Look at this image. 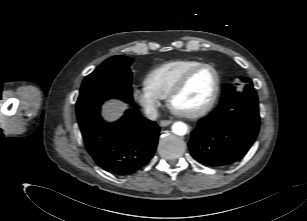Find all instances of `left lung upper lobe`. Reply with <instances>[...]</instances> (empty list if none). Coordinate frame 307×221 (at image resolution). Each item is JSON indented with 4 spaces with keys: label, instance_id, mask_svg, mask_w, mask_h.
I'll list each match as a JSON object with an SVG mask.
<instances>
[{
    "label": "left lung upper lobe",
    "instance_id": "1",
    "mask_svg": "<svg viewBox=\"0 0 307 221\" xmlns=\"http://www.w3.org/2000/svg\"><path fill=\"white\" fill-rule=\"evenodd\" d=\"M240 79L241 84H236L235 86L232 84H225L223 86L221 101L244 94L256 93L255 89L253 88L252 81L249 78L240 77Z\"/></svg>",
    "mask_w": 307,
    "mask_h": 221
}]
</instances>
